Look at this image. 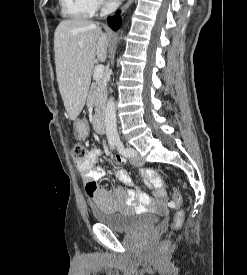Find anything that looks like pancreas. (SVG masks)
<instances>
[{
    "mask_svg": "<svg viewBox=\"0 0 247 275\" xmlns=\"http://www.w3.org/2000/svg\"><path fill=\"white\" fill-rule=\"evenodd\" d=\"M107 90L106 83L103 79L95 80L90 88L87 98V104L95 107V112L100 114L106 104Z\"/></svg>",
    "mask_w": 247,
    "mask_h": 275,
    "instance_id": "obj_1",
    "label": "pancreas"
}]
</instances>
